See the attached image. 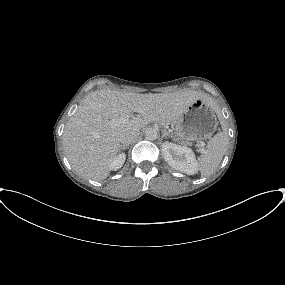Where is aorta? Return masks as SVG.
Masks as SVG:
<instances>
[{"label": "aorta", "instance_id": "aorta-1", "mask_svg": "<svg viewBox=\"0 0 285 285\" xmlns=\"http://www.w3.org/2000/svg\"><path fill=\"white\" fill-rule=\"evenodd\" d=\"M145 138L149 141L156 140L158 138V130L156 128H147L145 130Z\"/></svg>", "mask_w": 285, "mask_h": 285}]
</instances>
